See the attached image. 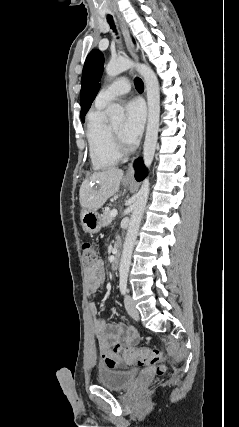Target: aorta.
Returning a JSON list of instances; mask_svg holds the SVG:
<instances>
[{"mask_svg": "<svg viewBox=\"0 0 239 427\" xmlns=\"http://www.w3.org/2000/svg\"><path fill=\"white\" fill-rule=\"evenodd\" d=\"M135 68L139 74L143 77L144 83L147 91V102H148V121L145 142L143 147V160L147 168H150L154 154L155 148L158 139V130H159V118H160V91H159V82L154 71L145 64H136L129 59H117L115 61H110L105 70L109 77H115L120 73L130 69ZM107 114L111 118L113 123H120L124 120V108L117 104H111L107 110ZM150 190L149 178L146 177L141 185V188L138 192V197L136 202L133 205V211L129 222L128 231L126 234L125 242L123 245V252L120 261L119 274L120 277H127L130 264L132 252L136 242L137 234L139 231V226L141 218L143 216L145 206L148 200Z\"/></svg>", "mask_w": 239, "mask_h": 427, "instance_id": "obj_1", "label": "aorta"}]
</instances>
